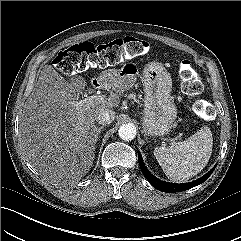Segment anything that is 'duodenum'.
Masks as SVG:
<instances>
[{"label":"duodenum","mask_w":241,"mask_h":241,"mask_svg":"<svg viewBox=\"0 0 241 241\" xmlns=\"http://www.w3.org/2000/svg\"><path fill=\"white\" fill-rule=\"evenodd\" d=\"M91 86L94 88V89H100L102 88L103 86V81L99 78H95L91 81Z\"/></svg>","instance_id":"duodenum-1"}]
</instances>
